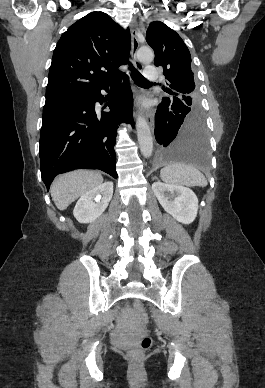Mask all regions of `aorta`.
Segmentation results:
<instances>
[{
    "label": "aorta",
    "mask_w": 265,
    "mask_h": 388,
    "mask_svg": "<svg viewBox=\"0 0 265 388\" xmlns=\"http://www.w3.org/2000/svg\"><path fill=\"white\" fill-rule=\"evenodd\" d=\"M137 58L141 62L149 63L154 59V53L150 48L142 47L137 51ZM136 131L140 151L145 158H148L153 151V139L148 123L142 116L137 118Z\"/></svg>",
    "instance_id": "obj_1"
}]
</instances>
